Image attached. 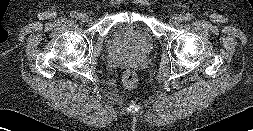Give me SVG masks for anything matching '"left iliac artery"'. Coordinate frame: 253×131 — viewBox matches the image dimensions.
<instances>
[{
	"instance_id": "44dca946",
	"label": "left iliac artery",
	"mask_w": 253,
	"mask_h": 131,
	"mask_svg": "<svg viewBox=\"0 0 253 131\" xmlns=\"http://www.w3.org/2000/svg\"><path fill=\"white\" fill-rule=\"evenodd\" d=\"M192 18H193V16L190 13L185 14L184 17H183V19L185 21H190V20H192Z\"/></svg>"
}]
</instances>
